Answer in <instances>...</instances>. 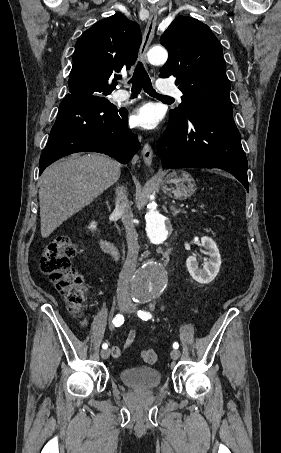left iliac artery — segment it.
I'll return each mask as SVG.
<instances>
[{
  "mask_svg": "<svg viewBox=\"0 0 281 453\" xmlns=\"http://www.w3.org/2000/svg\"><path fill=\"white\" fill-rule=\"evenodd\" d=\"M138 316H139L141 319L145 320V321H147L148 319H150V318L152 317L151 314H150L149 312L147 313V312H144V311H141V310L138 311ZM178 347H179L178 343L175 342V343L173 344V348H174V349H178Z\"/></svg>",
  "mask_w": 281,
  "mask_h": 453,
  "instance_id": "left-iliac-artery-1",
  "label": "left iliac artery"
}]
</instances>
